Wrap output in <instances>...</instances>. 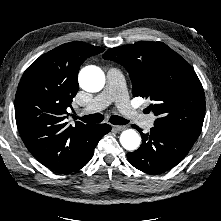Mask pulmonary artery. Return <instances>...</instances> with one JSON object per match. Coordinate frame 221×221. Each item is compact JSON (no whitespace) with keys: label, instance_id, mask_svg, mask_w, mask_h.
<instances>
[{"label":"pulmonary artery","instance_id":"e3ab8cb5","mask_svg":"<svg viewBox=\"0 0 221 221\" xmlns=\"http://www.w3.org/2000/svg\"><path fill=\"white\" fill-rule=\"evenodd\" d=\"M113 102L129 120L144 128H151L153 126V115L145 116L130 104L125 88L124 77L116 68L108 70L104 90L93 98L91 103L84 109V112L100 111Z\"/></svg>","mask_w":221,"mask_h":221}]
</instances>
